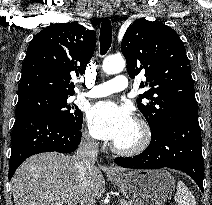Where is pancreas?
I'll return each instance as SVG.
<instances>
[{
  "mask_svg": "<svg viewBox=\"0 0 212 205\" xmlns=\"http://www.w3.org/2000/svg\"><path fill=\"white\" fill-rule=\"evenodd\" d=\"M120 201H121L122 205H132L130 202H128V201H126L124 199H121Z\"/></svg>",
  "mask_w": 212,
  "mask_h": 205,
  "instance_id": "1",
  "label": "pancreas"
}]
</instances>
